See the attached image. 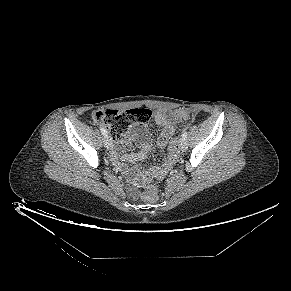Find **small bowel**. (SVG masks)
<instances>
[{"label": "small bowel", "instance_id": "small-bowel-1", "mask_svg": "<svg viewBox=\"0 0 291 291\" xmlns=\"http://www.w3.org/2000/svg\"><path fill=\"white\" fill-rule=\"evenodd\" d=\"M155 123L161 128L160 134L156 140V143L160 147H165L169 143L174 134V118L172 114L165 110H156L153 114ZM132 138L138 144L140 150L137 153H133L127 156H119L117 153L114 155V159L119 161L120 159H128L130 161L143 159L151 148V141L146 132L140 130H134ZM171 161L166 160L162 166H153L144 172L135 174L132 182L135 185L144 183L150 180L152 177L163 176L170 166Z\"/></svg>", "mask_w": 291, "mask_h": 291}]
</instances>
